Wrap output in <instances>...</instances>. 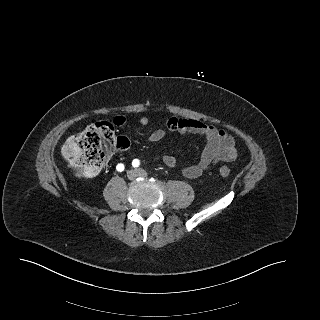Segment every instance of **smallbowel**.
Returning <instances> with one entry per match:
<instances>
[{
    "instance_id": "1",
    "label": "small bowel",
    "mask_w": 320,
    "mask_h": 320,
    "mask_svg": "<svg viewBox=\"0 0 320 320\" xmlns=\"http://www.w3.org/2000/svg\"><path fill=\"white\" fill-rule=\"evenodd\" d=\"M125 120V117L117 116L114 118V123L123 125ZM139 122L142 126H146L149 120L143 116ZM167 131L201 135L206 139V145L198 162L183 169V175L188 179L199 177L214 163L219 161L232 162L237 157L235 140L227 131L219 130L213 125L195 119L169 117L166 122V129L159 128L152 131L148 136V142L154 144L161 141L166 136ZM163 163L168 167H174L176 159L172 155H165Z\"/></svg>"
}]
</instances>
